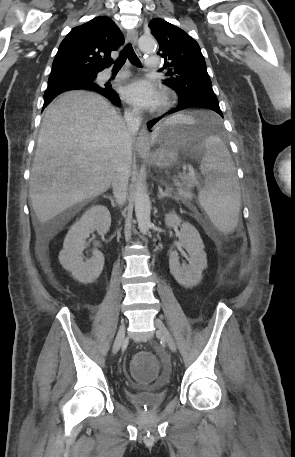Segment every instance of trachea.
<instances>
[{
  "label": "trachea",
  "instance_id": "trachea-1",
  "mask_svg": "<svg viewBox=\"0 0 295 457\" xmlns=\"http://www.w3.org/2000/svg\"><path fill=\"white\" fill-rule=\"evenodd\" d=\"M127 58L131 62L132 65H134L136 67H141V62H140L139 58L137 57V55L135 54L132 45L129 43L120 52L119 57L114 62L113 69L120 70L122 68V66L124 65Z\"/></svg>",
  "mask_w": 295,
  "mask_h": 457
}]
</instances>
